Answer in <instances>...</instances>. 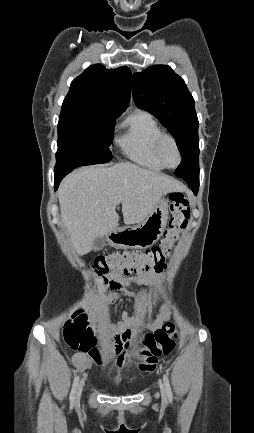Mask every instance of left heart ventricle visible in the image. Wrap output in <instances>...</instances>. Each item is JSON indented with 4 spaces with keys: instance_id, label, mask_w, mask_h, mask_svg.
<instances>
[{
    "instance_id": "obj_1",
    "label": "left heart ventricle",
    "mask_w": 254,
    "mask_h": 433,
    "mask_svg": "<svg viewBox=\"0 0 254 433\" xmlns=\"http://www.w3.org/2000/svg\"><path fill=\"white\" fill-rule=\"evenodd\" d=\"M161 158L168 166H175L178 163V154L173 143L169 140H164L160 147Z\"/></svg>"
}]
</instances>
